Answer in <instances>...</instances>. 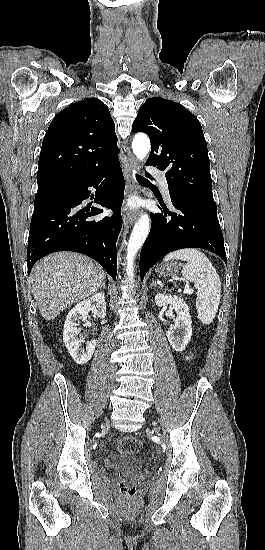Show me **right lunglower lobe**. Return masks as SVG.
<instances>
[{"mask_svg": "<svg viewBox=\"0 0 265 550\" xmlns=\"http://www.w3.org/2000/svg\"><path fill=\"white\" fill-rule=\"evenodd\" d=\"M124 177L119 162L96 175L70 181L60 190L34 203L27 264L28 275L37 260L57 251H74L100 263L115 280L117 273L116 241L122 226L121 214L100 221L91 217L103 212L81 206L95 187V202L115 210L123 200ZM92 196V195H91Z\"/></svg>", "mask_w": 265, "mask_h": 550, "instance_id": "1", "label": "right lung lower lobe"}]
</instances>
